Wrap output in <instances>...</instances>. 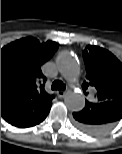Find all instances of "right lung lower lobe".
<instances>
[{
    "instance_id": "obj_1",
    "label": "right lung lower lobe",
    "mask_w": 122,
    "mask_h": 154,
    "mask_svg": "<svg viewBox=\"0 0 122 154\" xmlns=\"http://www.w3.org/2000/svg\"><path fill=\"white\" fill-rule=\"evenodd\" d=\"M48 113L43 115V116H41V117H39V118H37V119H35V120H33V121H31V122H29V123H27V124H25V125H23V126H21L20 128L31 127V126L39 124L40 122H42L46 118Z\"/></svg>"
}]
</instances>
